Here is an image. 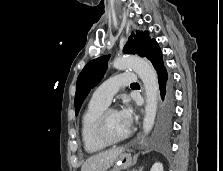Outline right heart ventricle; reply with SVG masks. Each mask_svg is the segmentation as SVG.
<instances>
[{
  "mask_svg": "<svg viewBox=\"0 0 223 171\" xmlns=\"http://www.w3.org/2000/svg\"><path fill=\"white\" fill-rule=\"evenodd\" d=\"M107 107V105L90 100L81 117L80 136L83 147L87 153H98L106 148V145L101 144L94 135V123L99 114Z\"/></svg>",
  "mask_w": 223,
  "mask_h": 171,
  "instance_id": "obj_1",
  "label": "right heart ventricle"
}]
</instances>
